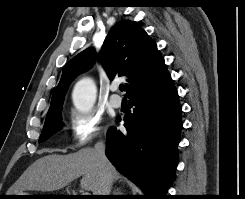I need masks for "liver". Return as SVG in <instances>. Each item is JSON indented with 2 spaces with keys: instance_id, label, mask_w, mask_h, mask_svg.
Instances as JSON below:
<instances>
[{
  "instance_id": "6515ba94",
  "label": "liver",
  "mask_w": 245,
  "mask_h": 199,
  "mask_svg": "<svg viewBox=\"0 0 245 199\" xmlns=\"http://www.w3.org/2000/svg\"><path fill=\"white\" fill-rule=\"evenodd\" d=\"M109 171L112 182L119 179L120 176L111 163ZM80 176L81 189L97 195L101 189L102 169L93 148H83L68 155L51 154L36 160L10 189V193L21 194L28 190L55 191Z\"/></svg>"
}]
</instances>
